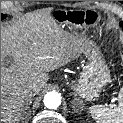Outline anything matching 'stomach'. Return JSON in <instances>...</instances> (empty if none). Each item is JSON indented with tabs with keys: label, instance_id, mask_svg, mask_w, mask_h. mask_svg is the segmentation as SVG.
I'll return each instance as SVG.
<instances>
[{
	"label": "stomach",
	"instance_id": "1",
	"mask_svg": "<svg viewBox=\"0 0 123 123\" xmlns=\"http://www.w3.org/2000/svg\"><path fill=\"white\" fill-rule=\"evenodd\" d=\"M53 18L60 24L67 25L70 29L78 31L85 29L93 23H88L86 12L80 10L57 9ZM83 53L87 59L83 71L76 81L70 83V88L75 94L86 101H94L99 97L102 88L111 80L108 66L97 48L88 45Z\"/></svg>",
	"mask_w": 123,
	"mask_h": 123
}]
</instances>
